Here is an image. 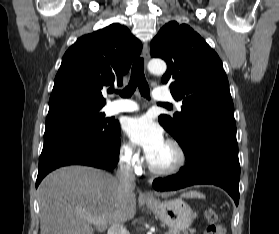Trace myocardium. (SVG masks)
<instances>
[{"mask_svg": "<svg viewBox=\"0 0 279 234\" xmlns=\"http://www.w3.org/2000/svg\"><path fill=\"white\" fill-rule=\"evenodd\" d=\"M166 144L169 145L175 152L176 158L173 164L168 167L161 168L156 167L150 162V160H147L149 171L160 177H168L178 173L185 166L187 160L183 147L176 140L168 139Z\"/></svg>", "mask_w": 279, "mask_h": 234, "instance_id": "1", "label": "myocardium"}]
</instances>
